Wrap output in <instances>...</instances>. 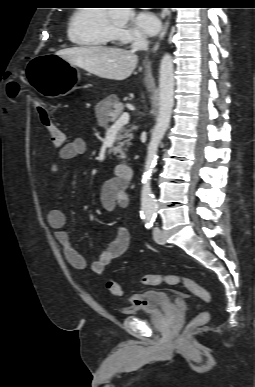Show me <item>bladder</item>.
<instances>
[{"mask_svg": "<svg viewBox=\"0 0 255 387\" xmlns=\"http://www.w3.org/2000/svg\"><path fill=\"white\" fill-rule=\"evenodd\" d=\"M138 298L139 303L131 304L123 310L125 315L158 314L174 306L171 296L163 291H147L141 293Z\"/></svg>", "mask_w": 255, "mask_h": 387, "instance_id": "obj_1", "label": "bladder"}]
</instances>
